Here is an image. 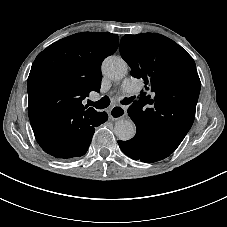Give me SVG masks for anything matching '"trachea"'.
<instances>
[{
  "instance_id": "obj_1",
  "label": "trachea",
  "mask_w": 227,
  "mask_h": 227,
  "mask_svg": "<svg viewBox=\"0 0 227 227\" xmlns=\"http://www.w3.org/2000/svg\"><path fill=\"white\" fill-rule=\"evenodd\" d=\"M135 99V96H131V97H125L122 101L121 104L123 105H129L133 100ZM110 104V100L107 96L102 97L100 100L93 102V101H88V105H92L94 107H96L97 109H105L109 106Z\"/></svg>"
}]
</instances>
